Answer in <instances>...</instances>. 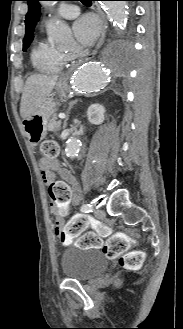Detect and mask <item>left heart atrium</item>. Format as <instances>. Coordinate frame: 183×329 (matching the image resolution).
<instances>
[{"instance_id": "39dd6f15", "label": "left heart atrium", "mask_w": 183, "mask_h": 329, "mask_svg": "<svg viewBox=\"0 0 183 329\" xmlns=\"http://www.w3.org/2000/svg\"><path fill=\"white\" fill-rule=\"evenodd\" d=\"M73 32L81 46H88L97 39L100 32V23L94 15L85 14L75 21Z\"/></svg>"}]
</instances>
